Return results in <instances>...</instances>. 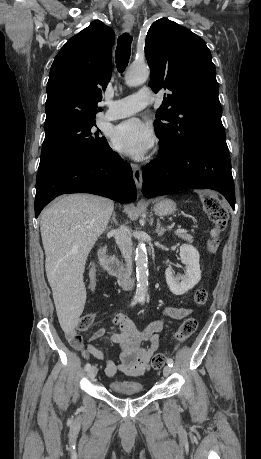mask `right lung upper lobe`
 I'll return each instance as SVG.
<instances>
[{
  "label": "right lung upper lobe",
  "mask_w": 261,
  "mask_h": 459,
  "mask_svg": "<svg viewBox=\"0 0 261 459\" xmlns=\"http://www.w3.org/2000/svg\"><path fill=\"white\" fill-rule=\"evenodd\" d=\"M114 37L112 29L94 21L63 46L50 69L44 128L95 119L111 77Z\"/></svg>",
  "instance_id": "cb5924a9"
}]
</instances>
